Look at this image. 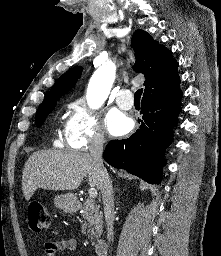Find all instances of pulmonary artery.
Here are the masks:
<instances>
[{
  "instance_id": "obj_1",
  "label": "pulmonary artery",
  "mask_w": 221,
  "mask_h": 256,
  "mask_svg": "<svg viewBox=\"0 0 221 256\" xmlns=\"http://www.w3.org/2000/svg\"><path fill=\"white\" fill-rule=\"evenodd\" d=\"M116 103L122 109H131L133 107L132 92L129 89H121L116 95Z\"/></svg>"
}]
</instances>
